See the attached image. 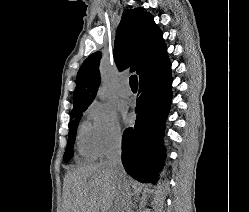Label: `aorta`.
<instances>
[{"instance_id":"obj_1","label":"aorta","mask_w":249,"mask_h":212,"mask_svg":"<svg viewBox=\"0 0 249 212\" xmlns=\"http://www.w3.org/2000/svg\"><path fill=\"white\" fill-rule=\"evenodd\" d=\"M97 95L101 100L106 99V97H107V89H106V87L105 86L100 87Z\"/></svg>"}]
</instances>
